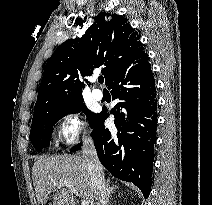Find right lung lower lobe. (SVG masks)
Masks as SVG:
<instances>
[{"instance_id": "1", "label": "right lung lower lobe", "mask_w": 212, "mask_h": 205, "mask_svg": "<svg viewBox=\"0 0 212 205\" xmlns=\"http://www.w3.org/2000/svg\"><path fill=\"white\" fill-rule=\"evenodd\" d=\"M107 86L112 89L113 99L120 100L111 111L118 132L105 128L103 122L109 113L102 110L91 125L99 160L113 176L132 182L147 198L157 127L155 79L147 53L120 68ZM79 149L77 144L70 151Z\"/></svg>"}]
</instances>
